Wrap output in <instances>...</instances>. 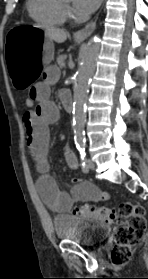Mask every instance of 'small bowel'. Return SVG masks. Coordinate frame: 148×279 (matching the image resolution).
Here are the masks:
<instances>
[{
    "label": "small bowel",
    "instance_id": "c3829d8e",
    "mask_svg": "<svg viewBox=\"0 0 148 279\" xmlns=\"http://www.w3.org/2000/svg\"><path fill=\"white\" fill-rule=\"evenodd\" d=\"M59 69L48 67L43 72V80L29 90V95L35 98L37 105L34 109L24 113L23 121L27 133V145L37 162L40 177L37 180V189L48 208L57 213H67L73 204L85 201H98L105 197L94 184L74 178L70 192L62 191L55 180L48 174L46 155L49 146V127L59 119V109L50 100V87L59 78ZM68 93L60 92L63 100ZM63 157L71 169H77L78 159L74 152L66 147Z\"/></svg>",
    "mask_w": 148,
    "mask_h": 279
}]
</instances>
